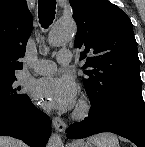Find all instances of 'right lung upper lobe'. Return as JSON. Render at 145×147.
Returning a JSON list of instances; mask_svg holds the SVG:
<instances>
[{
  "label": "right lung upper lobe",
  "instance_id": "right-lung-upper-lobe-1",
  "mask_svg": "<svg viewBox=\"0 0 145 147\" xmlns=\"http://www.w3.org/2000/svg\"><path fill=\"white\" fill-rule=\"evenodd\" d=\"M32 31V14L26 0L0 1V76L22 69L26 44Z\"/></svg>",
  "mask_w": 145,
  "mask_h": 147
}]
</instances>
